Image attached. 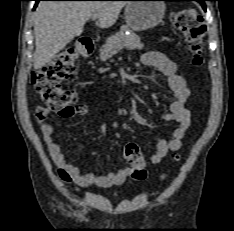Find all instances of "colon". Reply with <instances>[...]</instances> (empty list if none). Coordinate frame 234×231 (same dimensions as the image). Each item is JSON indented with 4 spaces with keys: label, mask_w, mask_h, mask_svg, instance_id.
<instances>
[{
    "label": "colon",
    "mask_w": 234,
    "mask_h": 231,
    "mask_svg": "<svg viewBox=\"0 0 234 231\" xmlns=\"http://www.w3.org/2000/svg\"><path fill=\"white\" fill-rule=\"evenodd\" d=\"M171 22L184 36L189 50L193 54V64L200 65L202 63L200 52L206 30L205 24L199 20L192 9L174 13L171 16ZM75 59L74 49H63L45 66L32 74L31 82L37 94L53 110L70 109L78 99L74 90L63 88L60 84L76 74ZM123 155L132 165V178L135 180L145 179L146 165L139 146L135 143H128L124 148Z\"/></svg>",
    "instance_id": "colon-1"
}]
</instances>
